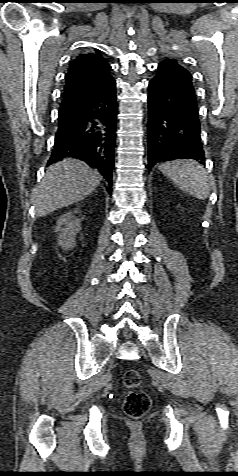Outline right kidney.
Segmentation results:
<instances>
[{
    "mask_svg": "<svg viewBox=\"0 0 238 476\" xmlns=\"http://www.w3.org/2000/svg\"><path fill=\"white\" fill-rule=\"evenodd\" d=\"M79 211H75L78 213ZM62 225H65L62 228ZM81 230V221L74 217L73 213L68 212L60 216L55 227V232H59L58 245L64 250L75 247L76 234Z\"/></svg>",
    "mask_w": 238,
    "mask_h": 476,
    "instance_id": "right-kidney-1",
    "label": "right kidney"
}]
</instances>
